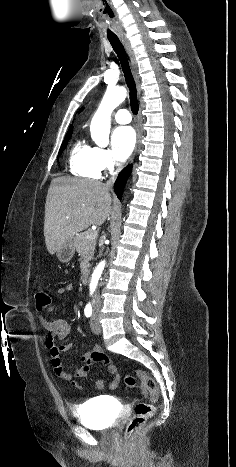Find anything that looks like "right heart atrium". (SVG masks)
<instances>
[{"instance_id": "d8ad5b80", "label": "right heart atrium", "mask_w": 236, "mask_h": 467, "mask_svg": "<svg viewBox=\"0 0 236 467\" xmlns=\"http://www.w3.org/2000/svg\"><path fill=\"white\" fill-rule=\"evenodd\" d=\"M94 161L100 172H110L114 170L116 162L111 152L102 147H94Z\"/></svg>"}]
</instances>
